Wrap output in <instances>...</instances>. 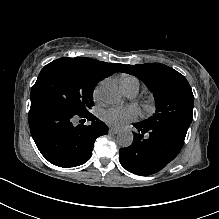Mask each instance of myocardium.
Returning a JSON list of instances; mask_svg holds the SVG:
<instances>
[{"label":"myocardium","instance_id":"myocardium-1","mask_svg":"<svg viewBox=\"0 0 219 219\" xmlns=\"http://www.w3.org/2000/svg\"><path fill=\"white\" fill-rule=\"evenodd\" d=\"M141 107H142L143 111L148 115H153L157 111V104L150 97L144 98L141 101Z\"/></svg>","mask_w":219,"mask_h":219}]
</instances>
